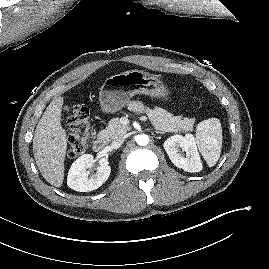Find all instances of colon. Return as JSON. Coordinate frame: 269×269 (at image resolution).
Instances as JSON below:
<instances>
[{
    "mask_svg": "<svg viewBox=\"0 0 269 269\" xmlns=\"http://www.w3.org/2000/svg\"><path fill=\"white\" fill-rule=\"evenodd\" d=\"M69 127L67 154L74 158L82 154L91 136V119L89 109L81 104L72 106L67 116Z\"/></svg>",
    "mask_w": 269,
    "mask_h": 269,
    "instance_id": "obj_1",
    "label": "colon"
}]
</instances>
